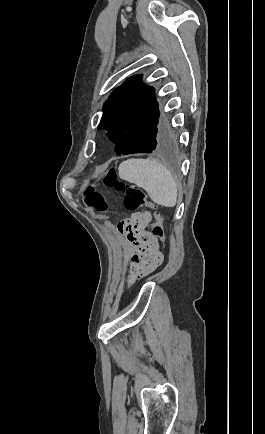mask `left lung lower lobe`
I'll use <instances>...</instances> for the list:
<instances>
[{"instance_id":"obj_1","label":"left lung lower lobe","mask_w":265,"mask_h":434,"mask_svg":"<svg viewBox=\"0 0 265 434\" xmlns=\"http://www.w3.org/2000/svg\"><path fill=\"white\" fill-rule=\"evenodd\" d=\"M178 147L177 133L168 125L161 124L130 137L115 148L117 155L133 153H170Z\"/></svg>"}]
</instances>
